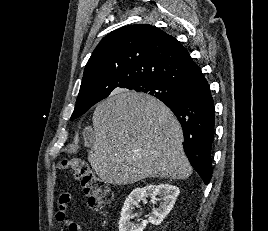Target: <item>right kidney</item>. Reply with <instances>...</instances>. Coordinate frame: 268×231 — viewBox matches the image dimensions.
I'll use <instances>...</instances> for the list:
<instances>
[{
	"instance_id": "ca27d5eb",
	"label": "right kidney",
	"mask_w": 268,
	"mask_h": 231,
	"mask_svg": "<svg viewBox=\"0 0 268 231\" xmlns=\"http://www.w3.org/2000/svg\"><path fill=\"white\" fill-rule=\"evenodd\" d=\"M179 193V188L171 184H150L143 188H135L124 202L119 220V231H143L149 222L153 225L161 224L172 210ZM158 195L161 197L158 199L161 201L160 205L153 209L148 220H143L137 224L132 223L130 219L134 218L133 211L138 202L145 196L156 197Z\"/></svg>"
}]
</instances>
